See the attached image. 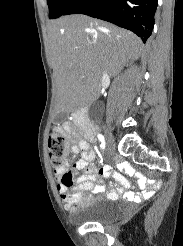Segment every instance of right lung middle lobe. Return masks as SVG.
Masks as SVG:
<instances>
[{
    "mask_svg": "<svg viewBox=\"0 0 183 246\" xmlns=\"http://www.w3.org/2000/svg\"><path fill=\"white\" fill-rule=\"evenodd\" d=\"M75 2V0H47L49 6V18L55 19L63 15Z\"/></svg>",
    "mask_w": 183,
    "mask_h": 246,
    "instance_id": "right-lung-middle-lobe-1",
    "label": "right lung middle lobe"
}]
</instances>
